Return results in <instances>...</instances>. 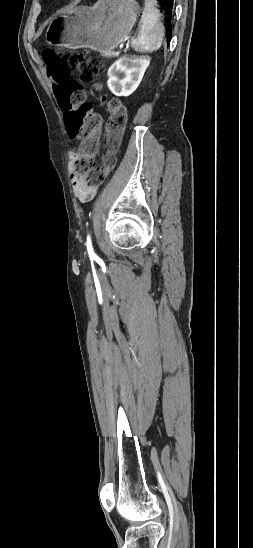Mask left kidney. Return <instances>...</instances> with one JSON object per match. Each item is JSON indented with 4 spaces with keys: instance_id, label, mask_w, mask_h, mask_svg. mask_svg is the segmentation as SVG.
<instances>
[{
    "instance_id": "1",
    "label": "left kidney",
    "mask_w": 253,
    "mask_h": 548,
    "mask_svg": "<svg viewBox=\"0 0 253 548\" xmlns=\"http://www.w3.org/2000/svg\"><path fill=\"white\" fill-rule=\"evenodd\" d=\"M149 64V57H120L108 69V88L116 96H129L139 86Z\"/></svg>"
}]
</instances>
